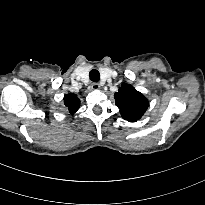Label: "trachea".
I'll list each match as a JSON object with an SVG mask.
<instances>
[{
    "instance_id": "3493384b",
    "label": "trachea",
    "mask_w": 205,
    "mask_h": 205,
    "mask_svg": "<svg viewBox=\"0 0 205 205\" xmlns=\"http://www.w3.org/2000/svg\"><path fill=\"white\" fill-rule=\"evenodd\" d=\"M89 77H90V80L93 81V82H98L99 79H100V73L98 70H91L90 73H89Z\"/></svg>"
}]
</instances>
